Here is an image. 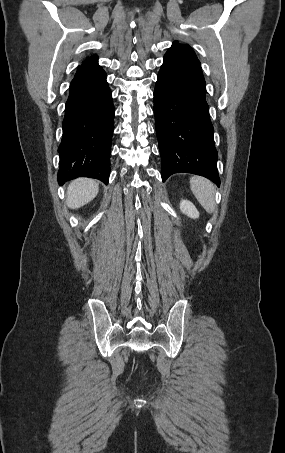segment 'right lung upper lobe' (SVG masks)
Segmentation results:
<instances>
[{"label":"right lung upper lobe","instance_id":"cb5924a9","mask_svg":"<svg viewBox=\"0 0 285 453\" xmlns=\"http://www.w3.org/2000/svg\"><path fill=\"white\" fill-rule=\"evenodd\" d=\"M98 60V57L95 55V56H91V57H87L86 60L83 62V64H91V63H96Z\"/></svg>","mask_w":285,"mask_h":453}]
</instances>
